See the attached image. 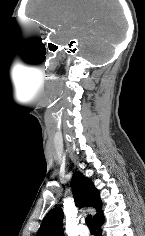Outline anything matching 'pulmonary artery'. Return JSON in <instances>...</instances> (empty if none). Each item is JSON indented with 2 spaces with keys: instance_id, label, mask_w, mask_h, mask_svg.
Wrapping results in <instances>:
<instances>
[{
  "instance_id": "1",
  "label": "pulmonary artery",
  "mask_w": 145,
  "mask_h": 236,
  "mask_svg": "<svg viewBox=\"0 0 145 236\" xmlns=\"http://www.w3.org/2000/svg\"><path fill=\"white\" fill-rule=\"evenodd\" d=\"M78 234L79 236H89L90 232L86 225H80Z\"/></svg>"
}]
</instances>
